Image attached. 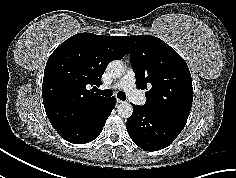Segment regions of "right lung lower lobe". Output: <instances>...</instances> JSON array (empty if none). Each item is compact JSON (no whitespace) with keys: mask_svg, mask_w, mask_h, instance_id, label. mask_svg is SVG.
<instances>
[{"mask_svg":"<svg viewBox=\"0 0 236 178\" xmlns=\"http://www.w3.org/2000/svg\"><path fill=\"white\" fill-rule=\"evenodd\" d=\"M116 105L115 97L109 98L100 111L83 125L66 130L59 135L73 144H85L96 139L101 133L105 122Z\"/></svg>","mask_w":236,"mask_h":178,"instance_id":"obj_1","label":"right lung lower lobe"}]
</instances>
